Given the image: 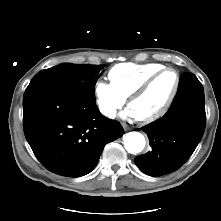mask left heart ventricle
<instances>
[{
	"mask_svg": "<svg viewBox=\"0 0 221 221\" xmlns=\"http://www.w3.org/2000/svg\"><path fill=\"white\" fill-rule=\"evenodd\" d=\"M176 84V76L168 71L159 76L144 95L135 99L130 108L137 118L157 113L169 99Z\"/></svg>",
	"mask_w": 221,
	"mask_h": 221,
	"instance_id": "1",
	"label": "left heart ventricle"
}]
</instances>
